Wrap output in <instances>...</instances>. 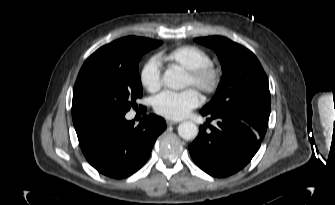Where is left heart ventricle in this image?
Segmentation results:
<instances>
[{
	"label": "left heart ventricle",
	"instance_id": "left-heart-ventricle-1",
	"mask_svg": "<svg viewBox=\"0 0 335 205\" xmlns=\"http://www.w3.org/2000/svg\"><path fill=\"white\" fill-rule=\"evenodd\" d=\"M187 85H191V80L189 77H187V82H186Z\"/></svg>",
	"mask_w": 335,
	"mask_h": 205
}]
</instances>
